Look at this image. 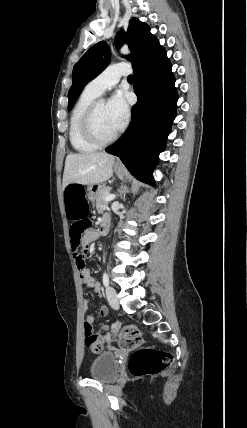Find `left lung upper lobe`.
Instances as JSON below:
<instances>
[{
  "label": "left lung upper lobe",
  "instance_id": "left-lung-upper-lobe-1",
  "mask_svg": "<svg viewBox=\"0 0 247 428\" xmlns=\"http://www.w3.org/2000/svg\"><path fill=\"white\" fill-rule=\"evenodd\" d=\"M116 45L127 42L131 55L126 59L132 62L133 68H137L163 48L157 38L150 33L147 24L132 18L127 33L123 30L116 36ZM111 50L105 41L98 42L87 50L73 70V84L68 92V111L73 107L76 99L87 83L97 77L109 64Z\"/></svg>",
  "mask_w": 247,
  "mask_h": 428
}]
</instances>
